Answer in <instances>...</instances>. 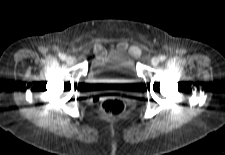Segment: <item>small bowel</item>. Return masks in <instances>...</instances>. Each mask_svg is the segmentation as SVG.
I'll return each mask as SVG.
<instances>
[{"mask_svg":"<svg viewBox=\"0 0 225 155\" xmlns=\"http://www.w3.org/2000/svg\"><path fill=\"white\" fill-rule=\"evenodd\" d=\"M118 47H126L125 44H119ZM94 52L96 54L97 57L99 56H103L104 54H106V49L101 45V44H96L94 46ZM130 52L134 55L138 54L139 50L137 47L132 46L130 47Z\"/></svg>","mask_w":225,"mask_h":155,"instance_id":"1","label":"small bowel"}]
</instances>
